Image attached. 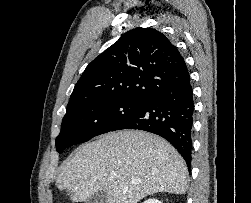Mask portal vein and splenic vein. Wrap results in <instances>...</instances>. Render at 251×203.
Returning <instances> with one entry per match:
<instances>
[{
    "label": "portal vein and splenic vein",
    "mask_w": 251,
    "mask_h": 203,
    "mask_svg": "<svg viewBox=\"0 0 251 203\" xmlns=\"http://www.w3.org/2000/svg\"><path fill=\"white\" fill-rule=\"evenodd\" d=\"M116 177V174L115 173H112L111 174V178H115Z\"/></svg>",
    "instance_id": "obj_1"
}]
</instances>
